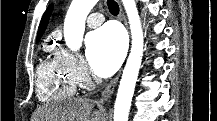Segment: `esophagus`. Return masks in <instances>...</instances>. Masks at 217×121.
Returning a JSON list of instances; mask_svg holds the SVG:
<instances>
[{"label":"esophagus","instance_id":"34e87169","mask_svg":"<svg viewBox=\"0 0 217 121\" xmlns=\"http://www.w3.org/2000/svg\"><path fill=\"white\" fill-rule=\"evenodd\" d=\"M119 4V15H120V18L121 20L123 21L125 27L128 29V24H127V20H126V17H125V14H124V11H123V8L120 4V2H118ZM120 74L121 72H119L112 80L111 82L106 86V88L104 89V91L102 92V95H101V98H100V102L104 103L106 101H108L113 92L115 91V88L117 86V83L119 81V78H120Z\"/></svg>","mask_w":217,"mask_h":121}]
</instances>
